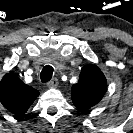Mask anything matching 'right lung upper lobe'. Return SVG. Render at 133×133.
Masks as SVG:
<instances>
[{
  "instance_id": "cb5924a9",
  "label": "right lung upper lobe",
  "mask_w": 133,
  "mask_h": 133,
  "mask_svg": "<svg viewBox=\"0 0 133 133\" xmlns=\"http://www.w3.org/2000/svg\"><path fill=\"white\" fill-rule=\"evenodd\" d=\"M38 96L39 91L23 83L14 73L5 74L0 81V102L16 115H24Z\"/></svg>"
}]
</instances>
